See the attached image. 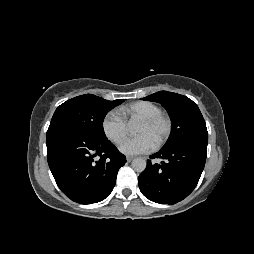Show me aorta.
Listing matches in <instances>:
<instances>
[{
  "mask_svg": "<svg viewBox=\"0 0 254 254\" xmlns=\"http://www.w3.org/2000/svg\"><path fill=\"white\" fill-rule=\"evenodd\" d=\"M131 165L136 172L141 173L146 169L147 163L143 158H135Z\"/></svg>",
  "mask_w": 254,
  "mask_h": 254,
  "instance_id": "1",
  "label": "aorta"
}]
</instances>
